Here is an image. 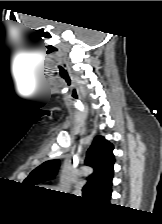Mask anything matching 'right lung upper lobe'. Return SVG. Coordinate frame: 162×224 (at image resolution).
<instances>
[{
	"instance_id": "obj_1",
	"label": "right lung upper lobe",
	"mask_w": 162,
	"mask_h": 224,
	"mask_svg": "<svg viewBox=\"0 0 162 224\" xmlns=\"http://www.w3.org/2000/svg\"><path fill=\"white\" fill-rule=\"evenodd\" d=\"M113 145L102 136H97L87 151L85 164L92 167L94 172L88 177L89 195L102 200L112 192L113 165L115 158L112 153ZM60 166L58 159L48 160L34 169L25 179L29 185H35L53 178Z\"/></svg>"
}]
</instances>
